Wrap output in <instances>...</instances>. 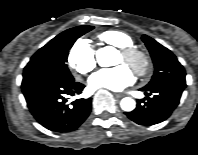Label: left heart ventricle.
Wrapping results in <instances>:
<instances>
[{
	"label": "left heart ventricle",
	"instance_id": "obj_1",
	"mask_svg": "<svg viewBox=\"0 0 198 155\" xmlns=\"http://www.w3.org/2000/svg\"><path fill=\"white\" fill-rule=\"evenodd\" d=\"M123 61H124V60H123V57L119 54L117 63H121V62H123Z\"/></svg>",
	"mask_w": 198,
	"mask_h": 155
}]
</instances>
